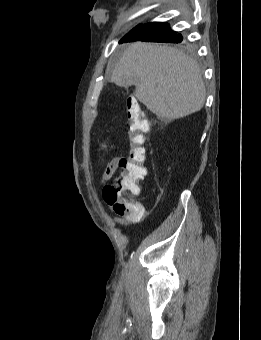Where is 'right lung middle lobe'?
I'll return each instance as SVG.
<instances>
[{
  "label": "right lung middle lobe",
  "instance_id": "dd1d6c3e",
  "mask_svg": "<svg viewBox=\"0 0 261 340\" xmlns=\"http://www.w3.org/2000/svg\"><path fill=\"white\" fill-rule=\"evenodd\" d=\"M183 41V37L181 34H176L172 39L169 41L170 43H180Z\"/></svg>",
  "mask_w": 261,
  "mask_h": 340
}]
</instances>
